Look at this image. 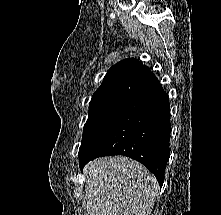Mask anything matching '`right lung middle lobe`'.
<instances>
[{
  "label": "right lung middle lobe",
  "instance_id": "right-lung-middle-lobe-1",
  "mask_svg": "<svg viewBox=\"0 0 221 215\" xmlns=\"http://www.w3.org/2000/svg\"><path fill=\"white\" fill-rule=\"evenodd\" d=\"M131 101L128 99H110L90 103L89 116L84 125L79 148V158L92 151Z\"/></svg>",
  "mask_w": 221,
  "mask_h": 215
}]
</instances>
